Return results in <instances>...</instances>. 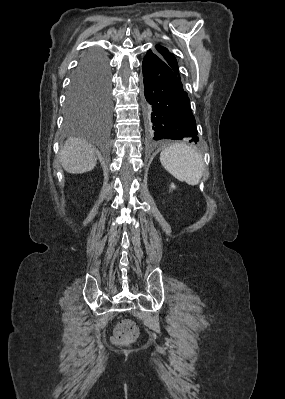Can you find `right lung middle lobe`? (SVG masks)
<instances>
[{"label":"right lung middle lobe","instance_id":"1","mask_svg":"<svg viewBox=\"0 0 285 399\" xmlns=\"http://www.w3.org/2000/svg\"><path fill=\"white\" fill-rule=\"evenodd\" d=\"M110 71L105 54L94 49L76 69L67 92L65 118L71 128L90 113L108 118L111 110Z\"/></svg>","mask_w":285,"mask_h":399}]
</instances>
